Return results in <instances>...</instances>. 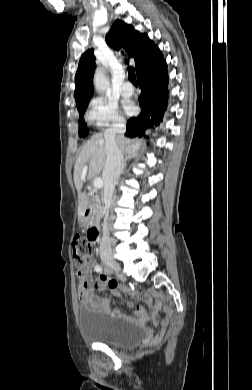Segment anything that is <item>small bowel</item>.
Returning a JSON list of instances; mask_svg holds the SVG:
<instances>
[{
  "label": "small bowel",
  "instance_id": "small-bowel-1",
  "mask_svg": "<svg viewBox=\"0 0 252 390\" xmlns=\"http://www.w3.org/2000/svg\"><path fill=\"white\" fill-rule=\"evenodd\" d=\"M95 267V260L92 258L86 267L78 273L80 280V284L78 286V298L82 306L89 310L104 313L112 318L120 320H128L141 324L146 323L148 320H153L154 325L157 328V334L165 332L172 314L170 308L166 307L165 314L161 317H157V313L161 307L160 301L153 303L149 294L139 291H132L128 288L120 290L118 283L115 280L107 279L102 275L94 280L92 276V269ZM94 289L101 291L109 289L112 295L120 299H123L122 292L131 295L147 303L149 311L126 301L127 306L133 308L134 314L132 316L124 315L121 311L111 308V301L108 298L97 297L94 294Z\"/></svg>",
  "mask_w": 252,
  "mask_h": 390
}]
</instances>
